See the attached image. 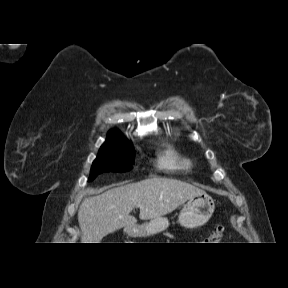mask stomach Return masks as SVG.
Wrapping results in <instances>:
<instances>
[{
    "label": "stomach",
    "instance_id": "0dacf381",
    "mask_svg": "<svg viewBox=\"0 0 288 288\" xmlns=\"http://www.w3.org/2000/svg\"><path fill=\"white\" fill-rule=\"evenodd\" d=\"M215 203L211 196L202 191L191 197L184 204L178 222L185 228H198L203 226L212 216ZM169 226L167 218L158 217L142 225L125 228V233L130 237H149L166 230Z\"/></svg>",
    "mask_w": 288,
    "mask_h": 288
}]
</instances>
